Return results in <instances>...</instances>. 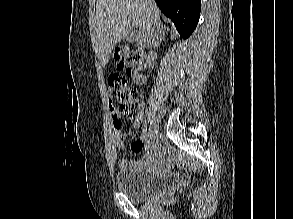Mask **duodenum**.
I'll return each mask as SVG.
<instances>
[{"instance_id": "obj_1", "label": "duodenum", "mask_w": 293, "mask_h": 219, "mask_svg": "<svg viewBox=\"0 0 293 219\" xmlns=\"http://www.w3.org/2000/svg\"><path fill=\"white\" fill-rule=\"evenodd\" d=\"M150 58L143 52H140V59H139V69H145L149 64ZM134 81L138 85H142L144 83V77L142 74H137L134 78Z\"/></svg>"}]
</instances>
